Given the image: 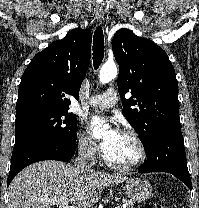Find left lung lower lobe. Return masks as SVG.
Wrapping results in <instances>:
<instances>
[{
	"instance_id": "obj_1",
	"label": "left lung lower lobe",
	"mask_w": 199,
	"mask_h": 208,
	"mask_svg": "<svg viewBox=\"0 0 199 208\" xmlns=\"http://www.w3.org/2000/svg\"><path fill=\"white\" fill-rule=\"evenodd\" d=\"M145 151L148 159L139 167L140 173L168 172L192 188L180 127L158 133Z\"/></svg>"
}]
</instances>
